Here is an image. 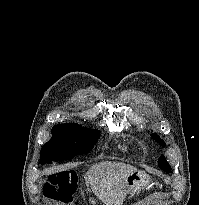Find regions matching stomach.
<instances>
[{"label": "stomach", "instance_id": "stomach-1", "mask_svg": "<svg viewBox=\"0 0 199 205\" xmlns=\"http://www.w3.org/2000/svg\"><path fill=\"white\" fill-rule=\"evenodd\" d=\"M150 177L144 172L136 171L127 176L125 180V190L133 194L146 188L149 184Z\"/></svg>", "mask_w": 199, "mask_h": 205}]
</instances>
